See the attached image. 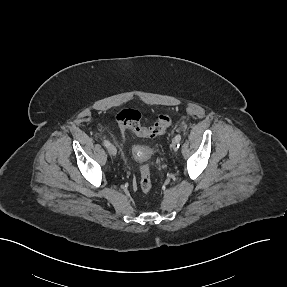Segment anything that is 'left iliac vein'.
I'll return each mask as SVG.
<instances>
[{"label": "left iliac vein", "instance_id": "obj_1", "mask_svg": "<svg viewBox=\"0 0 287 287\" xmlns=\"http://www.w3.org/2000/svg\"><path fill=\"white\" fill-rule=\"evenodd\" d=\"M178 145V143H177V141H176V139L174 138L173 140H172V149L174 150V151H176L177 150V146Z\"/></svg>", "mask_w": 287, "mask_h": 287}]
</instances>
